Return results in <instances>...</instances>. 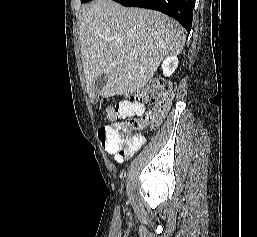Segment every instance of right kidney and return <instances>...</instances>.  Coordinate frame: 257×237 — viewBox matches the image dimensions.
<instances>
[{"mask_svg": "<svg viewBox=\"0 0 257 237\" xmlns=\"http://www.w3.org/2000/svg\"><path fill=\"white\" fill-rule=\"evenodd\" d=\"M178 65V58L176 54L168 55L162 62L163 74L167 77L171 76Z\"/></svg>", "mask_w": 257, "mask_h": 237, "instance_id": "ca27d5eb", "label": "right kidney"}]
</instances>
